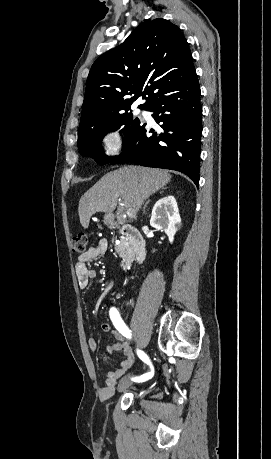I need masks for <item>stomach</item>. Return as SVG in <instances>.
Returning a JSON list of instances; mask_svg holds the SVG:
<instances>
[{"instance_id": "obj_1", "label": "stomach", "mask_w": 271, "mask_h": 459, "mask_svg": "<svg viewBox=\"0 0 271 459\" xmlns=\"http://www.w3.org/2000/svg\"><path fill=\"white\" fill-rule=\"evenodd\" d=\"M113 216L112 214H107V216H105L104 218V222H107V224H109V222H111Z\"/></svg>"}]
</instances>
